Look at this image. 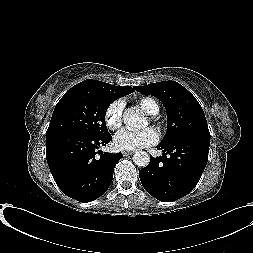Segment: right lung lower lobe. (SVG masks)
Listing matches in <instances>:
<instances>
[{"label": "right lung lower lobe", "instance_id": "1", "mask_svg": "<svg viewBox=\"0 0 253 253\" xmlns=\"http://www.w3.org/2000/svg\"><path fill=\"white\" fill-rule=\"evenodd\" d=\"M112 140L110 134L91 136L81 133H64L46 138V158L58 187L67 196L90 202L109 188L116 163L121 153L98 151Z\"/></svg>", "mask_w": 253, "mask_h": 253}]
</instances>
